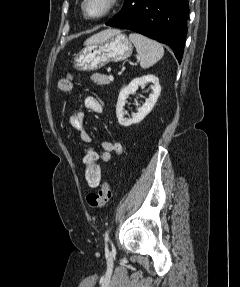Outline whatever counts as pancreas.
<instances>
[{
	"label": "pancreas",
	"mask_w": 240,
	"mask_h": 287,
	"mask_svg": "<svg viewBox=\"0 0 240 287\" xmlns=\"http://www.w3.org/2000/svg\"><path fill=\"white\" fill-rule=\"evenodd\" d=\"M91 79L98 85H105L111 82V80L106 75L99 73L93 74Z\"/></svg>",
	"instance_id": "pancreas-1"
}]
</instances>
